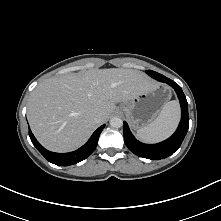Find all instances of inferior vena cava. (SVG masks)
Returning a JSON list of instances; mask_svg holds the SVG:
<instances>
[{
  "instance_id": "obj_1",
  "label": "inferior vena cava",
  "mask_w": 221,
  "mask_h": 221,
  "mask_svg": "<svg viewBox=\"0 0 221 221\" xmlns=\"http://www.w3.org/2000/svg\"><path fill=\"white\" fill-rule=\"evenodd\" d=\"M94 121L95 122H100L101 121V115L99 113L94 116Z\"/></svg>"
}]
</instances>
